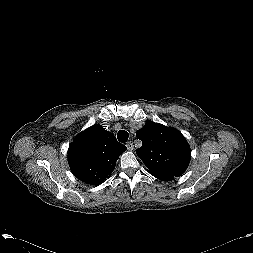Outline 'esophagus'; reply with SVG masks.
Here are the masks:
<instances>
[{"mask_svg": "<svg viewBox=\"0 0 253 253\" xmlns=\"http://www.w3.org/2000/svg\"><path fill=\"white\" fill-rule=\"evenodd\" d=\"M126 147H127V149H128L129 151H132V150L134 149V145H133L132 142H128V143L126 144Z\"/></svg>", "mask_w": 253, "mask_h": 253, "instance_id": "1", "label": "esophagus"}]
</instances>
